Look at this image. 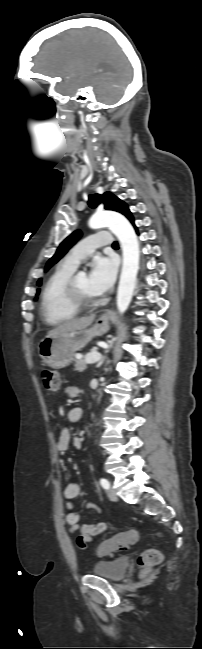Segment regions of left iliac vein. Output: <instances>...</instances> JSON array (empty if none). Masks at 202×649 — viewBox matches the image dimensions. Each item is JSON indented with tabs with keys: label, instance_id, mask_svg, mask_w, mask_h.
Wrapping results in <instances>:
<instances>
[{
	"label": "left iliac vein",
	"instance_id": "4c4485c4",
	"mask_svg": "<svg viewBox=\"0 0 202 649\" xmlns=\"http://www.w3.org/2000/svg\"><path fill=\"white\" fill-rule=\"evenodd\" d=\"M107 495H108V497L110 498V500H112V501H116V500H118V496H117V494H116L115 491H113L112 489H109V490H108Z\"/></svg>",
	"mask_w": 202,
	"mask_h": 649
}]
</instances>
